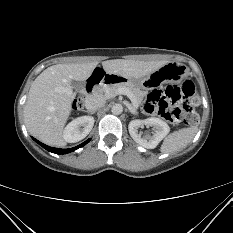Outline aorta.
Here are the masks:
<instances>
[{
	"label": "aorta",
	"instance_id": "762f6f07",
	"mask_svg": "<svg viewBox=\"0 0 233 233\" xmlns=\"http://www.w3.org/2000/svg\"><path fill=\"white\" fill-rule=\"evenodd\" d=\"M111 112L114 115H120L123 112V106L121 104H114L111 108Z\"/></svg>",
	"mask_w": 233,
	"mask_h": 233
}]
</instances>
